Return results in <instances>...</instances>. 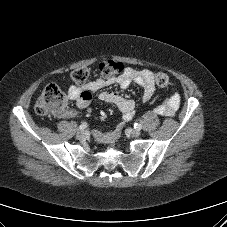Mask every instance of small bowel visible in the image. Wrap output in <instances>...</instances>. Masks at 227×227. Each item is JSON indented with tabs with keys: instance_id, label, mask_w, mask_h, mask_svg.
Masks as SVG:
<instances>
[{
	"instance_id": "1",
	"label": "small bowel",
	"mask_w": 227,
	"mask_h": 227,
	"mask_svg": "<svg viewBox=\"0 0 227 227\" xmlns=\"http://www.w3.org/2000/svg\"><path fill=\"white\" fill-rule=\"evenodd\" d=\"M132 83L140 86L143 89V102H149L155 93L156 87L153 79V73L149 70H137L134 68H126L120 75L113 78L99 77L89 81L84 87L70 86L68 89V96L75 101L79 109L87 108L92 100V93L102 90L110 85H118L123 89L128 88ZM99 99L116 106L123 114L126 121L133 119L137 104L132 99H126L114 92L100 91ZM180 96L174 94L167 98L162 104L158 105L154 112L162 116H173L180 105ZM77 115L74 110H67L64 112V117L73 118ZM120 130L116 129L113 132L101 133L96 132L95 138L109 146H113L119 138Z\"/></svg>"
}]
</instances>
